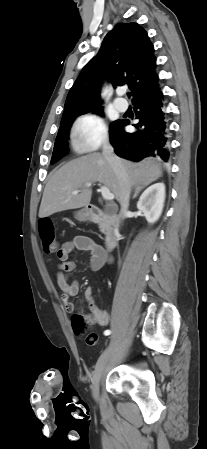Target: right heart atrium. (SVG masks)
Segmentation results:
<instances>
[{
  "mask_svg": "<svg viewBox=\"0 0 207 449\" xmlns=\"http://www.w3.org/2000/svg\"><path fill=\"white\" fill-rule=\"evenodd\" d=\"M73 135L76 147L85 152L96 150L108 138L103 118L92 112L85 113L76 119Z\"/></svg>",
  "mask_w": 207,
  "mask_h": 449,
  "instance_id": "right-heart-atrium-1",
  "label": "right heart atrium"
}]
</instances>
